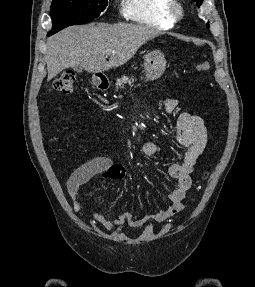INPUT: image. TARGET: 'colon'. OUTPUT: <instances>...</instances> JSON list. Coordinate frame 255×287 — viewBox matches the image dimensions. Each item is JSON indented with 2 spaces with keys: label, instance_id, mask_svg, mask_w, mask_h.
I'll list each match as a JSON object with an SVG mask.
<instances>
[{
  "label": "colon",
  "instance_id": "obj_1",
  "mask_svg": "<svg viewBox=\"0 0 255 287\" xmlns=\"http://www.w3.org/2000/svg\"><path fill=\"white\" fill-rule=\"evenodd\" d=\"M210 69V65L207 61L199 62L196 65L198 72H207ZM75 73L73 71H64L54 82L55 90L70 94L74 90Z\"/></svg>",
  "mask_w": 255,
  "mask_h": 287
}]
</instances>
